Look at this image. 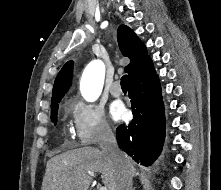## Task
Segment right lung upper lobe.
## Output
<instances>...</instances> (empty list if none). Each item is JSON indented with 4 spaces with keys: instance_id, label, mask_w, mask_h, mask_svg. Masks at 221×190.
Listing matches in <instances>:
<instances>
[{
    "instance_id": "right-lung-upper-lobe-1",
    "label": "right lung upper lobe",
    "mask_w": 221,
    "mask_h": 190,
    "mask_svg": "<svg viewBox=\"0 0 221 190\" xmlns=\"http://www.w3.org/2000/svg\"><path fill=\"white\" fill-rule=\"evenodd\" d=\"M118 44L122 54L131 62L125 67L129 83L147 79L156 72L152 60L147 55L146 47L137 35L125 25L118 28ZM73 62H67L58 73L52 90L51 103L61 100L72 83Z\"/></svg>"
}]
</instances>
